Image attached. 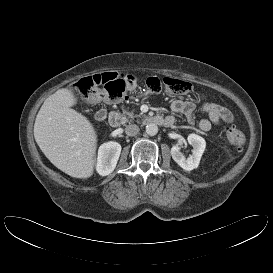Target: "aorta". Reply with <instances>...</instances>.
I'll list each match as a JSON object with an SVG mask.
<instances>
[{"instance_id":"obj_1","label":"aorta","mask_w":273,"mask_h":273,"mask_svg":"<svg viewBox=\"0 0 273 273\" xmlns=\"http://www.w3.org/2000/svg\"><path fill=\"white\" fill-rule=\"evenodd\" d=\"M146 133L149 135V136H154L158 133V126L154 123H149L147 124L146 126Z\"/></svg>"}]
</instances>
